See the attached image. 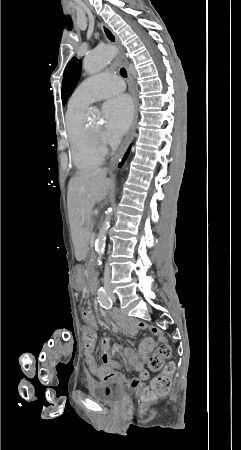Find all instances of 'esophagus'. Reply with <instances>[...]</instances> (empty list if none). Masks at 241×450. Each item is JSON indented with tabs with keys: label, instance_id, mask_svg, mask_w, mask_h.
<instances>
[{
	"label": "esophagus",
	"instance_id": "esophagus-1",
	"mask_svg": "<svg viewBox=\"0 0 241 450\" xmlns=\"http://www.w3.org/2000/svg\"><path fill=\"white\" fill-rule=\"evenodd\" d=\"M101 30L104 34V37L106 38V40L109 43H112L120 48V41H119L118 37L107 25L102 24ZM121 59H122V63L124 64V66L127 69L128 77L130 80L132 98H133V102H134V119H133V122H132V125L130 127L127 137L125 138V140H124L121 148L117 152L115 158L111 162V165H110L111 167L115 166L117 160L122 158L123 155L125 154V152L127 151V148L129 147V145L132 141V138L134 136V132H135L136 124H137V120H138L139 101H138V96H137V87L134 85V81H133V77H132V74L129 69L128 61L123 56L121 57Z\"/></svg>",
	"mask_w": 241,
	"mask_h": 450
}]
</instances>
